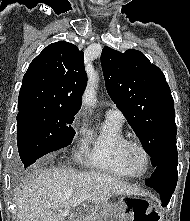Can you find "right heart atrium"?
Listing matches in <instances>:
<instances>
[{
  "instance_id": "right-heart-atrium-1",
  "label": "right heart atrium",
  "mask_w": 190,
  "mask_h": 221,
  "mask_svg": "<svg viewBox=\"0 0 190 221\" xmlns=\"http://www.w3.org/2000/svg\"><path fill=\"white\" fill-rule=\"evenodd\" d=\"M74 150L73 156L76 160L86 158L88 152V130L84 123L76 120L74 123Z\"/></svg>"
}]
</instances>
